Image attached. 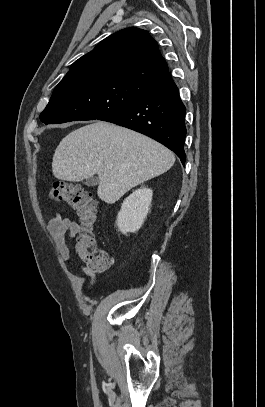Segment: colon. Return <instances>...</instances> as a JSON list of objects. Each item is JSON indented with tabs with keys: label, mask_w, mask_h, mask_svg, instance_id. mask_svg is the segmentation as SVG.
<instances>
[{
	"label": "colon",
	"mask_w": 265,
	"mask_h": 407,
	"mask_svg": "<svg viewBox=\"0 0 265 407\" xmlns=\"http://www.w3.org/2000/svg\"><path fill=\"white\" fill-rule=\"evenodd\" d=\"M52 200L64 202L79 216L82 231L76 240V254L91 271H103L111 265V256L97 246L94 226L98 219L97 202L93 195L79 186L55 182L50 189Z\"/></svg>",
	"instance_id": "5ec220e1"
}]
</instances>
